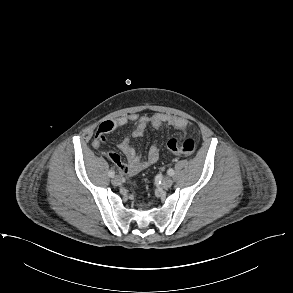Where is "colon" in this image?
Wrapping results in <instances>:
<instances>
[{"mask_svg":"<svg viewBox=\"0 0 293 293\" xmlns=\"http://www.w3.org/2000/svg\"><path fill=\"white\" fill-rule=\"evenodd\" d=\"M167 148L170 152L178 155L188 156L195 152L197 140L194 137H172L167 142Z\"/></svg>","mask_w":293,"mask_h":293,"instance_id":"obj_1","label":"colon"}]
</instances>
